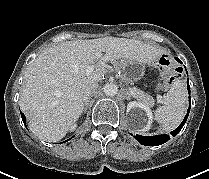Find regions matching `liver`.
<instances>
[{"label":"liver","mask_w":209,"mask_h":179,"mask_svg":"<svg viewBox=\"0 0 209 179\" xmlns=\"http://www.w3.org/2000/svg\"><path fill=\"white\" fill-rule=\"evenodd\" d=\"M162 52L139 40L117 37L68 41L45 49L28 66L20 96L30 130L44 141L61 140L81 116L85 92L103 79L105 62L151 64ZM98 59L99 68L87 74V67Z\"/></svg>","instance_id":"6515ba94"}]
</instances>
